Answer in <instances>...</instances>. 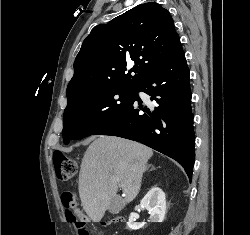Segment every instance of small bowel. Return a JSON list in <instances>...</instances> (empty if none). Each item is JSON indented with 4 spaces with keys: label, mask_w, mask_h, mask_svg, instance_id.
I'll list each match as a JSON object with an SVG mask.
<instances>
[{
    "label": "small bowel",
    "mask_w": 250,
    "mask_h": 235,
    "mask_svg": "<svg viewBox=\"0 0 250 235\" xmlns=\"http://www.w3.org/2000/svg\"><path fill=\"white\" fill-rule=\"evenodd\" d=\"M74 211H75V213H76L78 216L83 217V214H82V212L80 211V209L76 208Z\"/></svg>",
    "instance_id": "obj_1"
}]
</instances>
